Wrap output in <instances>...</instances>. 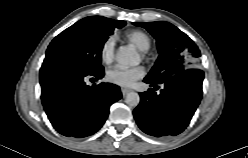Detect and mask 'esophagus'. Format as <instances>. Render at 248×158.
<instances>
[{
  "label": "esophagus",
  "instance_id": "obj_1",
  "mask_svg": "<svg viewBox=\"0 0 248 158\" xmlns=\"http://www.w3.org/2000/svg\"><path fill=\"white\" fill-rule=\"evenodd\" d=\"M130 91H131V90L128 89V88H121V92H122V94H123L124 96L127 95Z\"/></svg>",
  "mask_w": 248,
  "mask_h": 158
}]
</instances>
